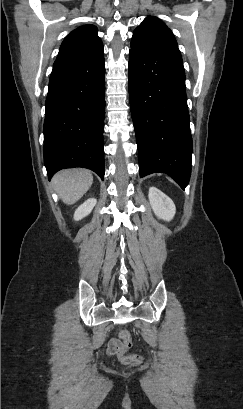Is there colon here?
Wrapping results in <instances>:
<instances>
[{"label":"colon","mask_w":243,"mask_h":409,"mask_svg":"<svg viewBox=\"0 0 243 409\" xmlns=\"http://www.w3.org/2000/svg\"><path fill=\"white\" fill-rule=\"evenodd\" d=\"M119 337L122 341V346L119 350V360L125 364L129 365H139L142 363L143 358L138 354L129 353L131 347V336L130 333L126 330H122L119 334Z\"/></svg>","instance_id":"obj_1"}]
</instances>
